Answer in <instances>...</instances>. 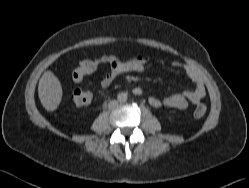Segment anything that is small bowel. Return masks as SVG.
<instances>
[{"label": "small bowel", "instance_id": "c3829d8e", "mask_svg": "<svg viewBox=\"0 0 249 188\" xmlns=\"http://www.w3.org/2000/svg\"><path fill=\"white\" fill-rule=\"evenodd\" d=\"M147 59L141 56L133 57L128 60H121L115 56L108 60L109 72L102 79V87H108L120 74L126 72H140L144 69ZM175 67L183 71L193 83V89L184 93L170 94L164 98L150 97L149 103L155 108L166 107L169 109L183 110L188 104L196 105L205 96L206 90L202 79L197 71L187 64L175 62ZM135 91H140L139 88Z\"/></svg>", "mask_w": 249, "mask_h": 188}]
</instances>
